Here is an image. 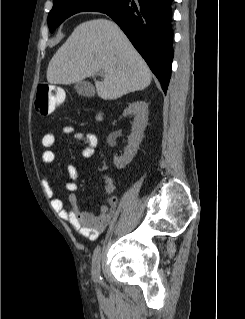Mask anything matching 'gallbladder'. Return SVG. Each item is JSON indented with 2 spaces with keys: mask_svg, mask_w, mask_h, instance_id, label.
Returning a JSON list of instances; mask_svg holds the SVG:
<instances>
[{
  "mask_svg": "<svg viewBox=\"0 0 245 319\" xmlns=\"http://www.w3.org/2000/svg\"><path fill=\"white\" fill-rule=\"evenodd\" d=\"M74 89L78 95L83 97H92L95 95V89L93 85L88 81H80L75 83Z\"/></svg>",
  "mask_w": 245,
  "mask_h": 319,
  "instance_id": "1",
  "label": "gallbladder"
}]
</instances>
